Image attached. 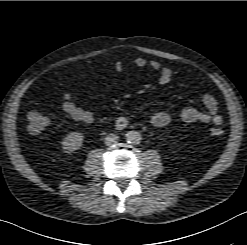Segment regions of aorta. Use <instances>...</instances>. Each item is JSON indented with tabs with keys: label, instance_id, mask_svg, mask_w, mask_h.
I'll return each instance as SVG.
<instances>
[{
	"label": "aorta",
	"instance_id": "obj_1",
	"mask_svg": "<svg viewBox=\"0 0 247 245\" xmlns=\"http://www.w3.org/2000/svg\"><path fill=\"white\" fill-rule=\"evenodd\" d=\"M126 139L129 143L138 144L141 142L142 137L138 131L132 130V131H128L126 133Z\"/></svg>",
	"mask_w": 247,
	"mask_h": 245
}]
</instances>
